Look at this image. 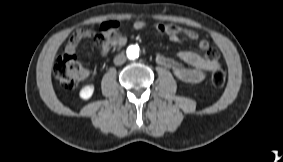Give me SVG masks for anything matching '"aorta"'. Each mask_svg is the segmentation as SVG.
Returning <instances> with one entry per match:
<instances>
[{"instance_id":"obj_1","label":"aorta","mask_w":283,"mask_h":162,"mask_svg":"<svg viewBox=\"0 0 283 162\" xmlns=\"http://www.w3.org/2000/svg\"><path fill=\"white\" fill-rule=\"evenodd\" d=\"M127 56L129 59H136L139 56V47L129 46L127 49Z\"/></svg>"}]
</instances>
